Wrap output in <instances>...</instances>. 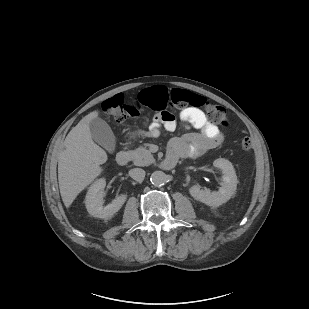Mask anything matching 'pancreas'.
Masks as SVG:
<instances>
[{
    "instance_id": "obj_1",
    "label": "pancreas",
    "mask_w": 309,
    "mask_h": 309,
    "mask_svg": "<svg viewBox=\"0 0 309 309\" xmlns=\"http://www.w3.org/2000/svg\"><path fill=\"white\" fill-rule=\"evenodd\" d=\"M135 166H148L154 162L153 155L146 147H139L128 152Z\"/></svg>"
}]
</instances>
